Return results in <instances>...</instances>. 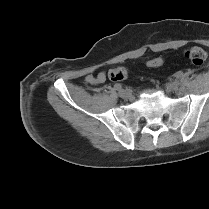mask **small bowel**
Returning <instances> with one entry per match:
<instances>
[{"label": "small bowel", "mask_w": 209, "mask_h": 209, "mask_svg": "<svg viewBox=\"0 0 209 209\" xmlns=\"http://www.w3.org/2000/svg\"><path fill=\"white\" fill-rule=\"evenodd\" d=\"M106 80V74L104 72H100L97 76L89 75L86 77V81L90 84H99Z\"/></svg>", "instance_id": "small-bowel-1"}]
</instances>
